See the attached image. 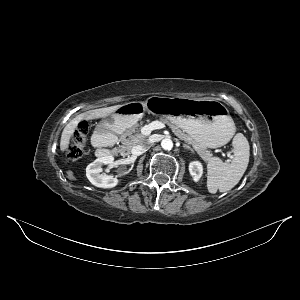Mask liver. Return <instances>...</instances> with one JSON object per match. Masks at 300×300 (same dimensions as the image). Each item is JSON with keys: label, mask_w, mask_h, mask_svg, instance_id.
Returning a JSON list of instances; mask_svg holds the SVG:
<instances>
[{"label": "liver", "mask_w": 300, "mask_h": 300, "mask_svg": "<svg viewBox=\"0 0 300 300\" xmlns=\"http://www.w3.org/2000/svg\"><path fill=\"white\" fill-rule=\"evenodd\" d=\"M119 106H111L107 108H101V109H94L90 110L84 113H81L80 115L76 116L73 120H71L63 129L61 140H60V149L61 151H66L70 144V139L74 134L75 129L77 128V124L81 120H93L98 118H105L108 115H111Z\"/></svg>", "instance_id": "1"}]
</instances>
